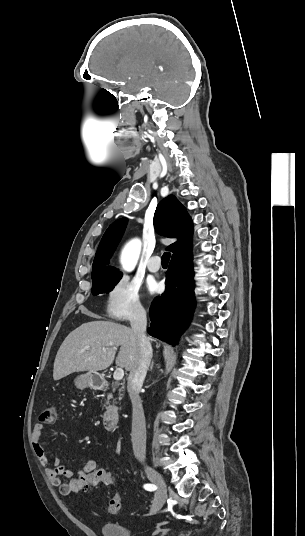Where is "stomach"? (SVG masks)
I'll return each instance as SVG.
<instances>
[{
  "label": "stomach",
  "instance_id": "obj_1",
  "mask_svg": "<svg viewBox=\"0 0 305 536\" xmlns=\"http://www.w3.org/2000/svg\"><path fill=\"white\" fill-rule=\"evenodd\" d=\"M74 384L78 390H84V388H100V386H103L104 380L103 378H100L98 374L88 372V374L77 376L74 380Z\"/></svg>",
  "mask_w": 305,
  "mask_h": 536
}]
</instances>
